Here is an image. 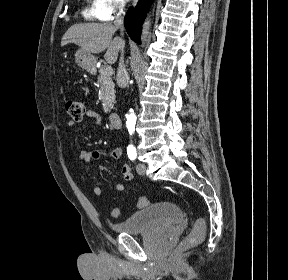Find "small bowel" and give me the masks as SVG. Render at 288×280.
Here are the masks:
<instances>
[{
    "label": "small bowel",
    "instance_id": "small-bowel-1",
    "mask_svg": "<svg viewBox=\"0 0 288 280\" xmlns=\"http://www.w3.org/2000/svg\"><path fill=\"white\" fill-rule=\"evenodd\" d=\"M85 116L93 119L97 124L100 123L101 119L97 112L87 109L85 110ZM75 125L74 120L68 122V126L72 127ZM123 150L119 147H114L106 149L103 151H91V150H82L79 152L78 157L84 162H90L92 159L98 158L100 156L109 157L115 160L123 158ZM121 173L126 182H131L133 180V174L131 172V167L128 164H124L121 168ZM125 190V185L123 183H116L114 185L115 192H123ZM94 196L98 197L102 194V189L99 186H95L92 190Z\"/></svg>",
    "mask_w": 288,
    "mask_h": 280
}]
</instances>
